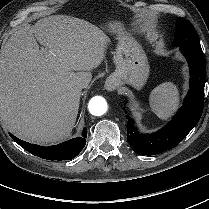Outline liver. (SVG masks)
Listing matches in <instances>:
<instances>
[{"instance_id":"6515ba94","label":"liver","mask_w":209,"mask_h":209,"mask_svg":"<svg viewBox=\"0 0 209 209\" xmlns=\"http://www.w3.org/2000/svg\"><path fill=\"white\" fill-rule=\"evenodd\" d=\"M46 47L54 61L39 49ZM108 37L95 25L67 15L17 29L0 53V109L7 128L23 140L59 142L74 128L91 70L105 57Z\"/></svg>"}]
</instances>
